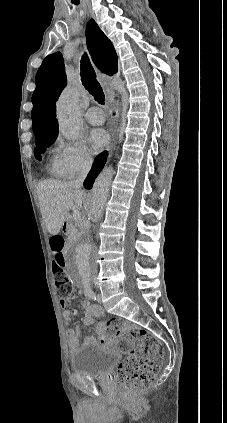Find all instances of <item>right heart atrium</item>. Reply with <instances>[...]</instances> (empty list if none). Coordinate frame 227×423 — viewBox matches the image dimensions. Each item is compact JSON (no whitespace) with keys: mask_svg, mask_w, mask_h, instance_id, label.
Returning <instances> with one entry per match:
<instances>
[{"mask_svg":"<svg viewBox=\"0 0 227 423\" xmlns=\"http://www.w3.org/2000/svg\"><path fill=\"white\" fill-rule=\"evenodd\" d=\"M56 166L65 178L87 173L93 166L94 157L82 142L57 141Z\"/></svg>","mask_w":227,"mask_h":423,"instance_id":"d8ad5b80","label":"right heart atrium"}]
</instances>
